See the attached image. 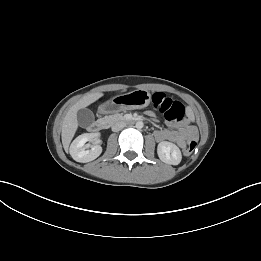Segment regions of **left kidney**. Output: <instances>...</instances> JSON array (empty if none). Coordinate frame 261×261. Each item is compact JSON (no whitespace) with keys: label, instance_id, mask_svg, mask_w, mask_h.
Instances as JSON below:
<instances>
[{"label":"left kidney","instance_id":"5707ae66","mask_svg":"<svg viewBox=\"0 0 261 261\" xmlns=\"http://www.w3.org/2000/svg\"><path fill=\"white\" fill-rule=\"evenodd\" d=\"M157 153L161 161L170 165H178L182 159L180 149L175 144L167 141L158 144Z\"/></svg>","mask_w":261,"mask_h":261}]
</instances>
